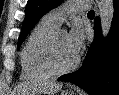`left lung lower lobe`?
<instances>
[{
  "label": "left lung lower lobe",
  "mask_w": 119,
  "mask_h": 95,
  "mask_svg": "<svg viewBox=\"0 0 119 95\" xmlns=\"http://www.w3.org/2000/svg\"><path fill=\"white\" fill-rule=\"evenodd\" d=\"M114 17L106 39H102L100 19L94 22V40L82 67L58 78L73 82L90 95H119V0H113Z\"/></svg>",
  "instance_id": "left-lung-lower-lobe-1"
}]
</instances>
